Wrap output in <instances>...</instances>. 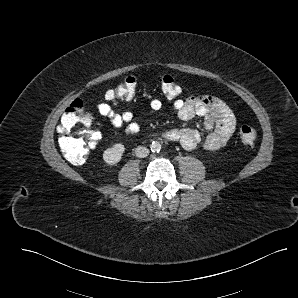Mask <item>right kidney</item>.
I'll return each instance as SVG.
<instances>
[{
    "mask_svg": "<svg viewBox=\"0 0 298 298\" xmlns=\"http://www.w3.org/2000/svg\"><path fill=\"white\" fill-rule=\"evenodd\" d=\"M124 151V147L120 144L115 145L112 148H108L105 152H104V160L109 163H116L119 161L120 157H121V153Z\"/></svg>",
    "mask_w": 298,
    "mask_h": 298,
    "instance_id": "ca27d5eb",
    "label": "right kidney"
}]
</instances>
